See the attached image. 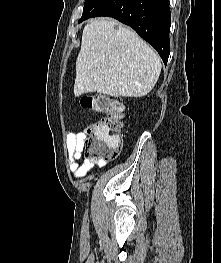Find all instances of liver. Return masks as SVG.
<instances>
[{"mask_svg":"<svg viewBox=\"0 0 221 263\" xmlns=\"http://www.w3.org/2000/svg\"><path fill=\"white\" fill-rule=\"evenodd\" d=\"M161 68L158 54L135 32L112 19H95L83 29L74 94L143 97L154 88Z\"/></svg>","mask_w":221,"mask_h":263,"instance_id":"1","label":"liver"}]
</instances>
